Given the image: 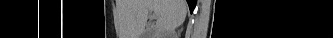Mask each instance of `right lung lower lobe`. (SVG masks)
<instances>
[{"label":"right lung lower lobe","instance_id":"right-lung-lower-lobe-1","mask_svg":"<svg viewBox=\"0 0 333 38\" xmlns=\"http://www.w3.org/2000/svg\"><path fill=\"white\" fill-rule=\"evenodd\" d=\"M190 11L192 12L195 6V0H187Z\"/></svg>","mask_w":333,"mask_h":38}]
</instances>
